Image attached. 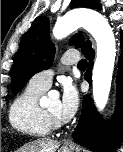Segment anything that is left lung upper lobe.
I'll list each match as a JSON object with an SVG mask.
<instances>
[{"mask_svg":"<svg viewBox=\"0 0 123 152\" xmlns=\"http://www.w3.org/2000/svg\"><path fill=\"white\" fill-rule=\"evenodd\" d=\"M88 7L100 9L98 0H72L71 8ZM88 41L83 43L80 34L71 38L70 44L82 49ZM55 48L49 39V20L47 17H37L27 32L16 55L12 69L11 91L19 93L27 81L36 73L48 69L52 65Z\"/></svg>","mask_w":123,"mask_h":152,"instance_id":"obj_1","label":"left lung upper lobe"}]
</instances>
